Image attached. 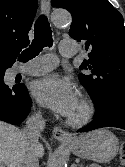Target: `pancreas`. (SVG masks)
I'll return each mask as SVG.
<instances>
[{
	"mask_svg": "<svg viewBox=\"0 0 125 167\" xmlns=\"http://www.w3.org/2000/svg\"><path fill=\"white\" fill-rule=\"evenodd\" d=\"M90 167H100L99 165L93 164Z\"/></svg>",
	"mask_w": 125,
	"mask_h": 167,
	"instance_id": "obj_1",
	"label": "pancreas"
}]
</instances>
